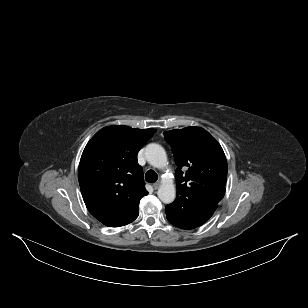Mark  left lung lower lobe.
<instances>
[{
  "label": "left lung lower lobe",
  "instance_id": "left-lung-lower-lobe-1",
  "mask_svg": "<svg viewBox=\"0 0 308 308\" xmlns=\"http://www.w3.org/2000/svg\"><path fill=\"white\" fill-rule=\"evenodd\" d=\"M216 208L217 206L186 217H178L166 213V217L176 227L181 229H194L204 224L212 216Z\"/></svg>",
  "mask_w": 308,
  "mask_h": 308
}]
</instances>
